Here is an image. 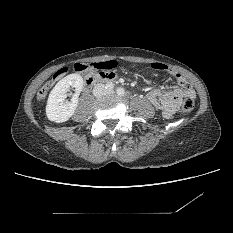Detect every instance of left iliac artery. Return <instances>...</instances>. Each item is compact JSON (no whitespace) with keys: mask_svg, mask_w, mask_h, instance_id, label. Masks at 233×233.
I'll list each match as a JSON object with an SVG mask.
<instances>
[{"mask_svg":"<svg viewBox=\"0 0 233 233\" xmlns=\"http://www.w3.org/2000/svg\"><path fill=\"white\" fill-rule=\"evenodd\" d=\"M117 94L120 95V96H124L125 95V90L120 87V88L117 89Z\"/></svg>","mask_w":233,"mask_h":233,"instance_id":"obj_1","label":"left iliac artery"}]
</instances>
